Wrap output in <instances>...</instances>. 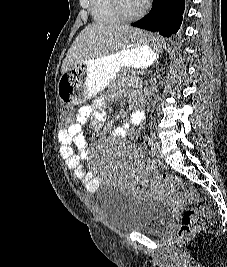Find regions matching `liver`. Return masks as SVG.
<instances>
[{"mask_svg": "<svg viewBox=\"0 0 227 267\" xmlns=\"http://www.w3.org/2000/svg\"><path fill=\"white\" fill-rule=\"evenodd\" d=\"M132 33L142 32L129 25H87L69 49L61 67L62 75L76 64L119 52L133 40Z\"/></svg>", "mask_w": 227, "mask_h": 267, "instance_id": "obj_1", "label": "liver"}]
</instances>
